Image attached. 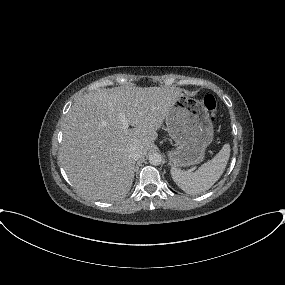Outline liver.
<instances>
[{"instance_id":"6515ba94","label":"liver","mask_w":285,"mask_h":285,"mask_svg":"<svg viewBox=\"0 0 285 285\" xmlns=\"http://www.w3.org/2000/svg\"><path fill=\"white\" fill-rule=\"evenodd\" d=\"M182 95L175 87L126 86L97 89L78 98L66 114L59 160L73 186L87 197L120 199L130 191L135 161L157 139L172 104ZM123 113L133 128H123Z\"/></svg>"}]
</instances>
